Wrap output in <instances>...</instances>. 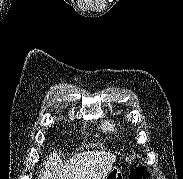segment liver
Here are the masks:
<instances>
[{"instance_id": "obj_1", "label": "liver", "mask_w": 183, "mask_h": 179, "mask_svg": "<svg viewBox=\"0 0 183 179\" xmlns=\"http://www.w3.org/2000/svg\"><path fill=\"white\" fill-rule=\"evenodd\" d=\"M115 161V154L103 150L85 151L66 162L53 153L38 179H105Z\"/></svg>"}]
</instances>
